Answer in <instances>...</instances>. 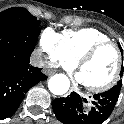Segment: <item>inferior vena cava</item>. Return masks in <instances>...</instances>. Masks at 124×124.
Returning a JSON list of instances; mask_svg holds the SVG:
<instances>
[{
  "mask_svg": "<svg viewBox=\"0 0 124 124\" xmlns=\"http://www.w3.org/2000/svg\"><path fill=\"white\" fill-rule=\"evenodd\" d=\"M30 61H31V65L36 67H42L44 65L42 55L39 53H34Z\"/></svg>",
  "mask_w": 124,
  "mask_h": 124,
  "instance_id": "1",
  "label": "inferior vena cava"
}]
</instances>
